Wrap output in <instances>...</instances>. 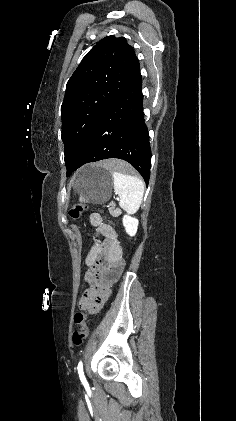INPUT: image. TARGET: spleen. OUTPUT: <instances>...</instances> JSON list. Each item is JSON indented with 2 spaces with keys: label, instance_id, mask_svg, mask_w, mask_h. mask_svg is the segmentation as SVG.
I'll use <instances>...</instances> for the list:
<instances>
[{
  "label": "spleen",
  "instance_id": "spleen-1",
  "mask_svg": "<svg viewBox=\"0 0 236 421\" xmlns=\"http://www.w3.org/2000/svg\"><path fill=\"white\" fill-rule=\"evenodd\" d=\"M113 162H109V166L104 168H111ZM114 178V192L119 194V204L125 213L134 215L142 202L144 194V182L138 176H131V174H122L117 172L116 168H112Z\"/></svg>",
  "mask_w": 236,
  "mask_h": 421
}]
</instances>
